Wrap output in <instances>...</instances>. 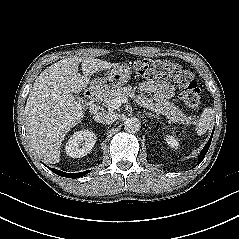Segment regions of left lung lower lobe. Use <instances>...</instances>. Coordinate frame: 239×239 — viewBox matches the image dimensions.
I'll use <instances>...</instances> for the list:
<instances>
[{"mask_svg": "<svg viewBox=\"0 0 239 239\" xmlns=\"http://www.w3.org/2000/svg\"><path fill=\"white\" fill-rule=\"evenodd\" d=\"M213 133H214V130H213V132H212V135H211L209 141H208L207 144L204 146L203 150L201 151V153H200V155H199V159H198L197 165H198L199 163H201L202 160L204 159V157H205V155H206V153H207V151H208V149H209V147H210V144H211V141H212V137H213Z\"/></svg>", "mask_w": 239, "mask_h": 239, "instance_id": "left-lung-lower-lobe-1", "label": "left lung lower lobe"}]
</instances>
